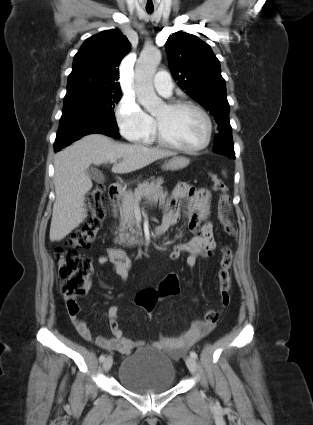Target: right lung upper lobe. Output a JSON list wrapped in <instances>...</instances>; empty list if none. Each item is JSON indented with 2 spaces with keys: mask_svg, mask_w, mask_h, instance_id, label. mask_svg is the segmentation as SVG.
<instances>
[{
  "mask_svg": "<svg viewBox=\"0 0 313 425\" xmlns=\"http://www.w3.org/2000/svg\"><path fill=\"white\" fill-rule=\"evenodd\" d=\"M129 51L130 42L116 29L102 31L85 40L74 56L67 93L120 90L117 67Z\"/></svg>",
  "mask_w": 313,
  "mask_h": 425,
  "instance_id": "cb5924a9",
  "label": "right lung upper lobe"
}]
</instances>
